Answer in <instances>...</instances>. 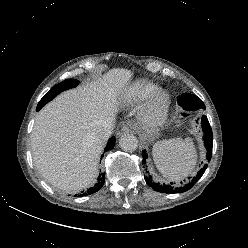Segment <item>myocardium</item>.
<instances>
[{
	"label": "myocardium",
	"instance_id": "myocardium-1",
	"mask_svg": "<svg viewBox=\"0 0 248 248\" xmlns=\"http://www.w3.org/2000/svg\"><path fill=\"white\" fill-rule=\"evenodd\" d=\"M171 106V96L167 91H158L144 105L141 120L148 126L162 125L168 117Z\"/></svg>",
	"mask_w": 248,
	"mask_h": 248
}]
</instances>
